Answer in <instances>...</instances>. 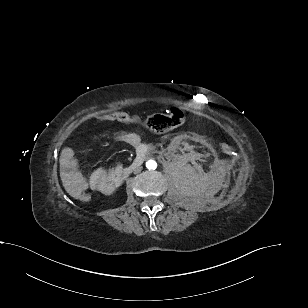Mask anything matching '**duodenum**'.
Listing matches in <instances>:
<instances>
[{"instance_id": "1", "label": "duodenum", "mask_w": 308, "mask_h": 308, "mask_svg": "<svg viewBox=\"0 0 308 308\" xmlns=\"http://www.w3.org/2000/svg\"><path fill=\"white\" fill-rule=\"evenodd\" d=\"M147 154V149H141L136 158L134 159V161L129 165L127 166L121 173H120V182L122 180H124L125 178H127L134 169L140 167L145 159V156Z\"/></svg>"}]
</instances>
